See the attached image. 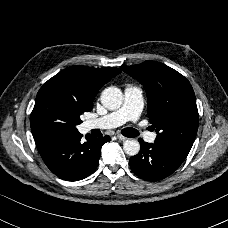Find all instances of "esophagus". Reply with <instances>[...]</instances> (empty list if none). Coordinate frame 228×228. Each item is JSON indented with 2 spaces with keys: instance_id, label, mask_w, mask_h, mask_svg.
<instances>
[{
  "instance_id": "34e87169",
  "label": "esophagus",
  "mask_w": 228,
  "mask_h": 228,
  "mask_svg": "<svg viewBox=\"0 0 228 228\" xmlns=\"http://www.w3.org/2000/svg\"><path fill=\"white\" fill-rule=\"evenodd\" d=\"M117 138H118L119 140H121V141H125V140L128 139L127 137H125V136H123V135H121V134H118V135H117Z\"/></svg>"
}]
</instances>
